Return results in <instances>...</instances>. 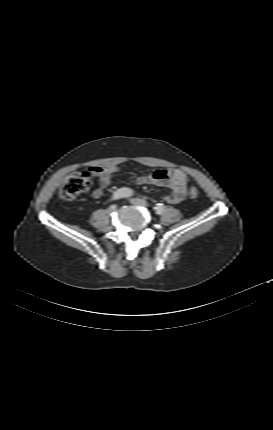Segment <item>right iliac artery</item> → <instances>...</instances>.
<instances>
[{
	"label": "right iliac artery",
	"instance_id": "1",
	"mask_svg": "<svg viewBox=\"0 0 273 430\" xmlns=\"http://www.w3.org/2000/svg\"><path fill=\"white\" fill-rule=\"evenodd\" d=\"M133 195V190L127 187L116 190L112 195V200H118L122 198H128Z\"/></svg>",
	"mask_w": 273,
	"mask_h": 430
}]
</instances>
